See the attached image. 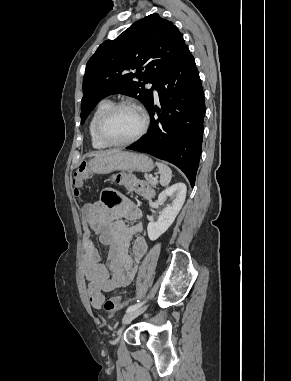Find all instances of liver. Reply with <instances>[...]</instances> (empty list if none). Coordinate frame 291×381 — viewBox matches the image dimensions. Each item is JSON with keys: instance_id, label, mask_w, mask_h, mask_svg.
<instances>
[{"instance_id": "6515ba94", "label": "liver", "mask_w": 291, "mask_h": 381, "mask_svg": "<svg viewBox=\"0 0 291 381\" xmlns=\"http://www.w3.org/2000/svg\"><path fill=\"white\" fill-rule=\"evenodd\" d=\"M116 152H119V150H111V151H101V152H97V153H91L89 156H101V155H108V154H112V153H116Z\"/></svg>"}]
</instances>
